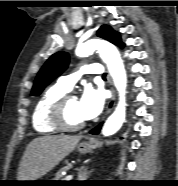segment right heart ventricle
<instances>
[{
    "label": "right heart ventricle",
    "instance_id": "e07e8e85",
    "mask_svg": "<svg viewBox=\"0 0 178 186\" xmlns=\"http://www.w3.org/2000/svg\"><path fill=\"white\" fill-rule=\"evenodd\" d=\"M67 92V90L57 84L47 89L37 100L32 113V125L36 132L53 134L58 131L49 120V111L52 104Z\"/></svg>",
    "mask_w": 178,
    "mask_h": 186
}]
</instances>
